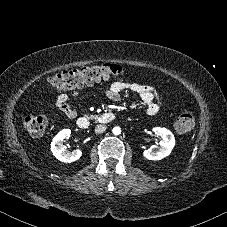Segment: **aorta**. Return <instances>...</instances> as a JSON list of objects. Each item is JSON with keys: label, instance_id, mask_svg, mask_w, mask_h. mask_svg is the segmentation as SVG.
Instances as JSON below:
<instances>
[{"label": "aorta", "instance_id": "obj_1", "mask_svg": "<svg viewBox=\"0 0 227 227\" xmlns=\"http://www.w3.org/2000/svg\"><path fill=\"white\" fill-rule=\"evenodd\" d=\"M113 133H114L115 135H119V134L121 133L120 127H114V128H113Z\"/></svg>", "mask_w": 227, "mask_h": 227}]
</instances>
